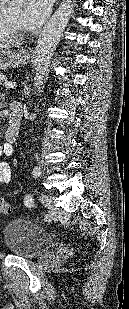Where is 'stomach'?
<instances>
[{"label": "stomach", "mask_w": 129, "mask_h": 309, "mask_svg": "<svg viewBox=\"0 0 129 309\" xmlns=\"http://www.w3.org/2000/svg\"><path fill=\"white\" fill-rule=\"evenodd\" d=\"M30 56L26 50L0 49V70L16 68L28 63Z\"/></svg>", "instance_id": "obj_1"}]
</instances>
